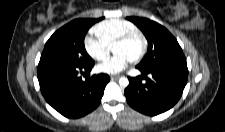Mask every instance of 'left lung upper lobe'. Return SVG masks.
I'll list each match as a JSON object with an SVG mask.
<instances>
[{
	"label": "left lung upper lobe",
	"instance_id": "1",
	"mask_svg": "<svg viewBox=\"0 0 225 132\" xmlns=\"http://www.w3.org/2000/svg\"><path fill=\"white\" fill-rule=\"evenodd\" d=\"M144 33L148 41V51L137 65L141 69L173 63H185L186 59L180 45L172 34L160 24L147 18L127 17Z\"/></svg>",
	"mask_w": 225,
	"mask_h": 132
}]
</instances>
